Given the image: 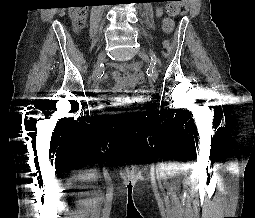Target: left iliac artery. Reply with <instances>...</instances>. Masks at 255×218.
<instances>
[{
	"label": "left iliac artery",
	"mask_w": 255,
	"mask_h": 218,
	"mask_svg": "<svg viewBox=\"0 0 255 218\" xmlns=\"http://www.w3.org/2000/svg\"><path fill=\"white\" fill-rule=\"evenodd\" d=\"M150 56H151V60H152L154 65L159 63V59L157 58V56L155 55L154 52H150Z\"/></svg>",
	"instance_id": "obj_1"
}]
</instances>
